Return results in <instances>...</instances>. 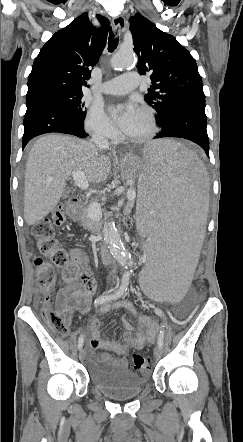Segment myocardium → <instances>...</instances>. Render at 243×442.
<instances>
[{
    "instance_id": "obj_1",
    "label": "myocardium",
    "mask_w": 243,
    "mask_h": 442,
    "mask_svg": "<svg viewBox=\"0 0 243 442\" xmlns=\"http://www.w3.org/2000/svg\"><path fill=\"white\" fill-rule=\"evenodd\" d=\"M140 110L145 112L149 116L151 129H150L149 133H147L146 135L141 136V137L133 138V137H128V136L124 135L123 139L126 142H129L132 144H142V143H145V142L151 140L158 132V121H157L155 111L149 106H143V107H141Z\"/></svg>"
}]
</instances>
